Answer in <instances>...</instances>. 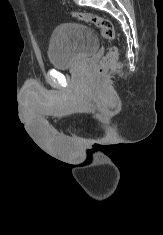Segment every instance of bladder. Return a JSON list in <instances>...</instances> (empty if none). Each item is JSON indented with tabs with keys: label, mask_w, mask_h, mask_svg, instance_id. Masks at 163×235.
<instances>
[{
	"label": "bladder",
	"mask_w": 163,
	"mask_h": 235,
	"mask_svg": "<svg viewBox=\"0 0 163 235\" xmlns=\"http://www.w3.org/2000/svg\"><path fill=\"white\" fill-rule=\"evenodd\" d=\"M98 48L97 35L90 27L80 23H65L53 30L48 57L53 68L65 69L75 66Z\"/></svg>",
	"instance_id": "1"
}]
</instances>
